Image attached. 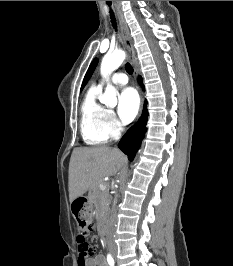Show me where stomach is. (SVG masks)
I'll return each mask as SVG.
<instances>
[{"label":"stomach","mask_w":233,"mask_h":266,"mask_svg":"<svg viewBox=\"0 0 233 266\" xmlns=\"http://www.w3.org/2000/svg\"><path fill=\"white\" fill-rule=\"evenodd\" d=\"M91 199L88 196H76L71 204L73 209L74 221L76 223V232H87L88 228H92L93 220L90 212Z\"/></svg>","instance_id":"stomach-1"}]
</instances>
